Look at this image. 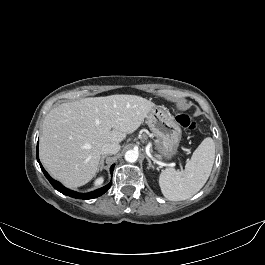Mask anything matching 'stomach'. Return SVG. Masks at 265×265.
<instances>
[{"label":"stomach","mask_w":265,"mask_h":265,"mask_svg":"<svg viewBox=\"0 0 265 265\" xmlns=\"http://www.w3.org/2000/svg\"><path fill=\"white\" fill-rule=\"evenodd\" d=\"M152 134L156 137L155 147L159 154L169 160L176 153L181 140V128L167 110L154 107L146 116Z\"/></svg>","instance_id":"1"}]
</instances>
